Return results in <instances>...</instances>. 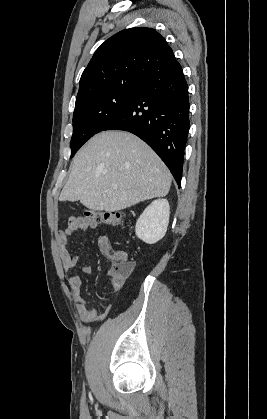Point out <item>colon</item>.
<instances>
[{
	"label": "colon",
	"mask_w": 267,
	"mask_h": 419,
	"mask_svg": "<svg viewBox=\"0 0 267 419\" xmlns=\"http://www.w3.org/2000/svg\"><path fill=\"white\" fill-rule=\"evenodd\" d=\"M87 217L93 219L97 223L108 226H119L125 221V215L120 212L113 211H97L87 213ZM112 267L110 273L118 277H126L130 274L133 263L128 260V256L123 251H116L112 255Z\"/></svg>",
	"instance_id": "5ec220e1"
}]
</instances>
